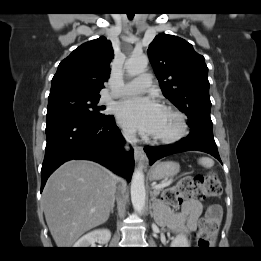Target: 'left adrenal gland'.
<instances>
[{
    "mask_svg": "<svg viewBox=\"0 0 261 261\" xmlns=\"http://www.w3.org/2000/svg\"><path fill=\"white\" fill-rule=\"evenodd\" d=\"M151 197H152V194H151ZM151 200H153V199L151 198ZM151 214H152V212H151Z\"/></svg>",
    "mask_w": 261,
    "mask_h": 261,
    "instance_id": "1",
    "label": "left adrenal gland"
}]
</instances>
